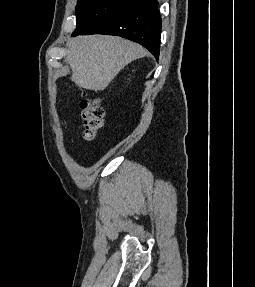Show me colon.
Masks as SVG:
<instances>
[{
  "label": "colon",
  "instance_id": "colon-1",
  "mask_svg": "<svg viewBox=\"0 0 255 287\" xmlns=\"http://www.w3.org/2000/svg\"><path fill=\"white\" fill-rule=\"evenodd\" d=\"M80 107L84 126V138L92 141L104 125V109L97 98L88 96L82 99Z\"/></svg>",
  "mask_w": 255,
  "mask_h": 287
}]
</instances>
